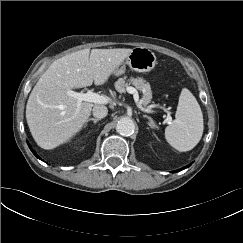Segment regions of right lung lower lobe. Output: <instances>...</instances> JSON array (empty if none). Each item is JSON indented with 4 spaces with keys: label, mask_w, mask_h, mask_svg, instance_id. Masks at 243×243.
Returning <instances> with one entry per match:
<instances>
[{
    "label": "right lung lower lobe",
    "mask_w": 243,
    "mask_h": 243,
    "mask_svg": "<svg viewBox=\"0 0 243 243\" xmlns=\"http://www.w3.org/2000/svg\"><path fill=\"white\" fill-rule=\"evenodd\" d=\"M29 148L31 149V151L33 152V154L37 157V158H39V159H41L35 152H34V150L29 146Z\"/></svg>",
    "instance_id": "1"
}]
</instances>
